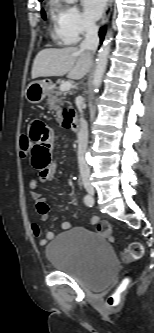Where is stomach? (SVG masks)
Listing matches in <instances>:
<instances>
[{
  "instance_id": "1",
  "label": "stomach",
  "mask_w": 154,
  "mask_h": 333,
  "mask_svg": "<svg viewBox=\"0 0 154 333\" xmlns=\"http://www.w3.org/2000/svg\"><path fill=\"white\" fill-rule=\"evenodd\" d=\"M49 84L45 81H33L26 90L25 97L29 103L38 104L48 95Z\"/></svg>"
}]
</instances>
